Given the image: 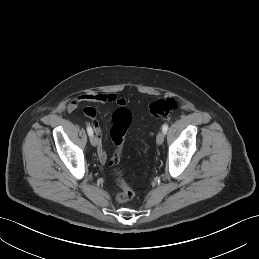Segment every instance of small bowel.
I'll list each match as a JSON object with an SVG mask.
<instances>
[{
    "mask_svg": "<svg viewBox=\"0 0 259 259\" xmlns=\"http://www.w3.org/2000/svg\"><path fill=\"white\" fill-rule=\"evenodd\" d=\"M82 102H89L94 104H115L118 107H126L127 102L124 98L117 96L114 93H83L75 97L68 105L69 111L76 110L77 106ZM84 114L93 120V128L97 134L98 149L97 155L101 163H104L107 159V153L101 142V129L99 124L96 122V111L94 108L85 107L83 110Z\"/></svg>",
    "mask_w": 259,
    "mask_h": 259,
    "instance_id": "obj_1",
    "label": "small bowel"
}]
</instances>
